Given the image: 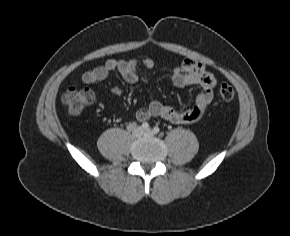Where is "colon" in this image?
I'll return each instance as SVG.
<instances>
[{
	"label": "colon",
	"instance_id": "obj_1",
	"mask_svg": "<svg viewBox=\"0 0 290 236\" xmlns=\"http://www.w3.org/2000/svg\"><path fill=\"white\" fill-rule=\"evenodd\" d=\"M219 96L224 101H230L234 98L235 92L230 85L223 84L219 88ZM94 97V92L89 88L69 87L64 92L62 101L70 114L78 115L93 103Z\"/></svg>",
	"mask_w": 290,
	"mask_h": 236
}]
</instances>
